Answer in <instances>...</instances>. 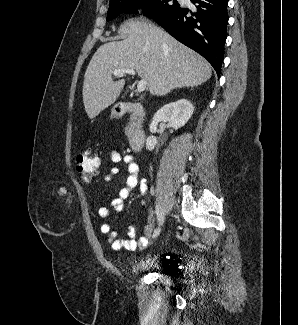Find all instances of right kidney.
<instances>
[{"mask_svg": "<svg viewBox=\"0 0 298 325\" xmlns=\"http://www.w3.org/2000/svg\"><path fill=\"white\" fill-rule=\"evenodd\" d=\"M193 110L194 106L187 98H180V100H175V102H168V104H164V106H161L153 114V118L149 124V130L150 132H157L158 122H168L170 126H173L177 130V128H181V126H184L188 122L193 114ZM156 144L157 136H154V134L147 136V150H153Z\"/></svg>", "mask_w": 298, "mask_h": 325, "instance_id": "right-kidney-1", "label": "right kidney"}]
</instances>
